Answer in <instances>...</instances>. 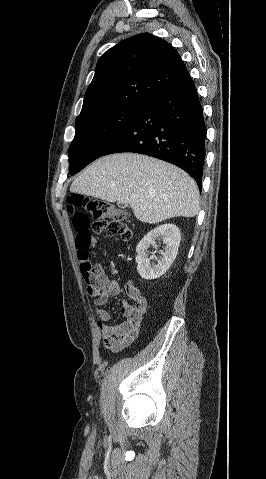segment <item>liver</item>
Segmentation results:
<instances>
[{
  "instance_id": "6515ba94",
  "label": "liver",
  "mask_w": 266,
  "mask_h": 479,
  "mask_svg": "<svg viewBox=\"0 0 266 479\" xmlns=\"http://www.w3.org/2000/svg\"><path fill=\"white\" fill-rule=\"evenodd\" d=\"M70 191L130 204L134 216L149 224L179 216L194 217L199 212L198 187L186 172L134 153L97 159L75 178Z\"/></svg>"
}]
</instances>
